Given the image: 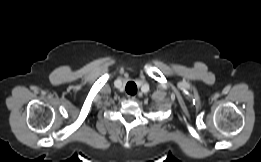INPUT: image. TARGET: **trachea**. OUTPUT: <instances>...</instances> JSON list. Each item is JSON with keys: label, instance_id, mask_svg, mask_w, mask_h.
Returning a JSON list of instances; mask_svg holds the SVG:
<instances>
[{"label": "trachea", "instance_id": "3493384b", "mask_svg": "<svg viewBox=\"0 0 261 162\" xmlns=\"http://www.w3.org/2000/svg\"><path fill=\"white\" fill-rule=\"evenodd\" d=\"M126 92L130 95H135L137 93V86L134 82H128L126 85Z\"/></svg>", "mask_w": 261, "mask_h": 162}]
</instances>
